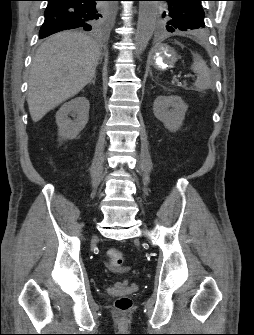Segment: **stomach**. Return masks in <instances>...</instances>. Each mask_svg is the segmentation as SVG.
I'll list each match as a JSON object with an SVG mask.
<instances>
[{
  "label": "stomach",
  "instance_id": "1",
  "mask_svg": "<svg viewBox=\"0 0 254 335\" xmlns=\"http://www.w3.org/2000/svg\"><path fill=\"white\" fill-rule=\"evenodd\" d=\"M178 59L176 51L168 45L158 46L150 56V63L158 70H166L175 64Z\"/></svg>",
  "mask_w": 254,
  "mask_h": 335
}]
</instances>
